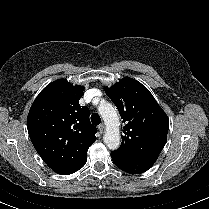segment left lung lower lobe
<instances>
[{"label":"left lung lower lobe","instance_id":"left-lung-lower-lobe-1","mask_svg":"<svg viewBox=\"0 0 209 209\" xmlns=\"http://www.w3.org/2000/svg\"><path fill=\"white\" fill-rule=\"evenodd\" d=\"M111 157L118 168L130 174L143 173L154 164V162L129 158L114 152L111 153Z\"/></svg>","mask_w":209,"mask_h":209}]
</instances>
